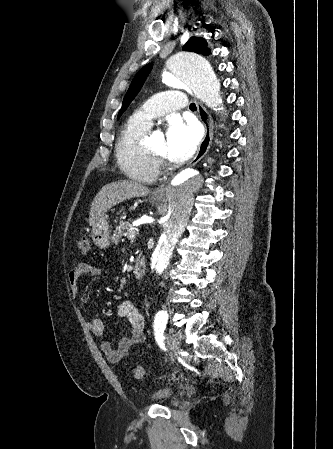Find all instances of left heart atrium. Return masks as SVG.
<instances>
[{"mask_svg":"<svg viewBox=\"0 0 333 449\" xmlns=\"http://www.w3.org/2000/svg\"><path fill=\"white\" fill-rule=\"evenodd\" d=\"M198 128L194 124H185L173 119L166 131V149L170 160L181 163L195 152L199 142Z\"/></svg>","mask_w":333,"mask_h":449,"instance_id":"1","label":"left heart atrium"}]
</instances>
